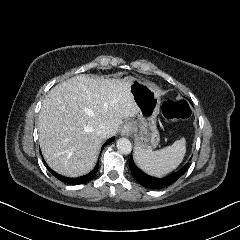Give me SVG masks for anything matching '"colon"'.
<instances>
[{
    "mask_svg": "<svg viewBox=\"0 0 240 240\" xmlns=\"http://www.w3.org/2000/svg\"><path fill=\"white\" fill-rule=\"evenodd\" d=\"M167 120H186L191 116V106L188 101H171L164 104L162 108Z\"/></svg>",
    "mask_w": 240,
    "mask_h": 240,
    "instance_id": "1",
    "label": "colon"
}]
</instances>
